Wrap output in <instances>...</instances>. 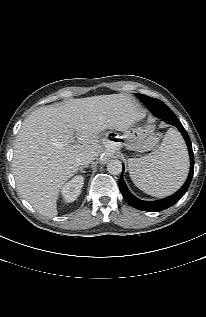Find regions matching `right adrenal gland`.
Wrapping results in <instances>:
<instances>
[{"label": "right adrenal gland", "mask_w": 206, "mask_h": 317, "mask_svg": "<svg viewBox=\"0 0 206 317\" xmlns=\"http://www.w3.org/2000/svg\"><path fill=\"white\" fill-rule=\"evenodd\" d=\"M87 167H88V165H83V166L79 167L78 170H79L81 173H85L84 168H87Z\"/></svg>", "instance_id": "obj_1"}]
</instances>
